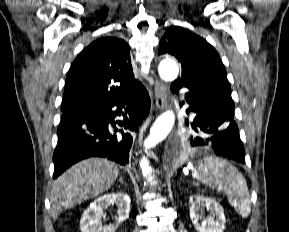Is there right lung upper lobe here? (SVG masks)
I'll return each mask as SVG.
<instances>
[{"label":"right lung upper lobe","instance_id":"1","mask_svg":"<svg viewBox=\"0 0 289 232\" xmlns=\"http://www.w3.org/2000/svg\"><path fill=\"white\" fill-rule=\"evenodd\" d=\"M130 47L122 39L103 37L74 60L66 77L63 113L115 102L139 85L134 79Z\"/></svg>","mask_w":289,"mask_h":232}]
</instances>
